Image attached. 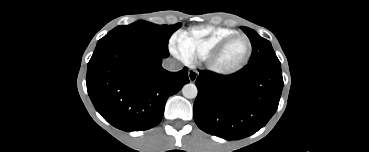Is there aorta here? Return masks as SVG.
I'll return each mask as SVG.
<instances>
[{
    "label": "aorta",
    "instance_id": "aorta-1",
    "mask_svg": "<svg viewBox=\"0 0 369 152\" xmlns=\"http://www.w3.org/2000/svg\"><path fill=\"white\" fill-rule=\"evenodd\" d=\"M197 93H198V90L195 84H192V83L185 84L182 88V94L185 98H188V99L196 98Z\"/></svg>",
    "mask_w": 369,
    "mask_h": 152
}]
</instances>
